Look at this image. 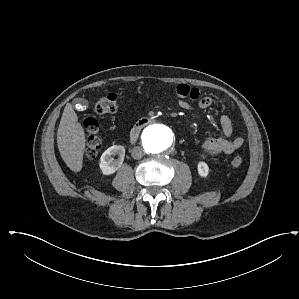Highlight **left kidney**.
Segmentation results:
<instances>
[{
	"label": "left kidney",
	"mask_w": 299,
	"mask_h": 299,
	"mask_svg": "<svg viewBox=\"0 0 299 299\" xmlns=\"http://www.w3.org/2000/svg\"><path fill=\"white\" fill-rule=\"evenodd\" d=\"M197 170H198V174L202 178H206L208 173H209L208 165L205 162H202V161L197 164Z\"/></svg>",
	"instance_id": "5707ae66"
}]
</instances>
